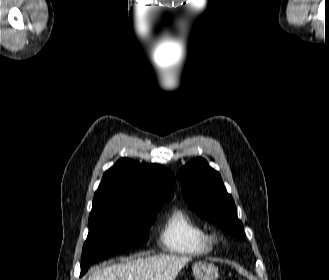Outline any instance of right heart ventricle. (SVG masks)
<instances>
[{
  "instance_id": "right-heart-ventricle-1",
  "label": "right heart ventricle",
  "mask_w": 329,
  "mask_h": 280,
  "mask_svg": "<svg viewBox=\"0 0 329 280\" xmlns=\"http://www.w3.org/2000/svg\"><path fill=\"white\" fill-rule=\"evenodd\" d=\"M160 239L164 249L170 253L198 256L211 251L205 227L182 208H175L170 213Z\"/></svg>"
}]
</instances>
